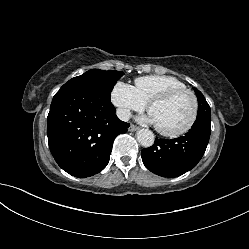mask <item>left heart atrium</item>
Returning <instances> with one entry per match:
<instances>
[{
	"label": "left heart atrium",
	"instance_id": "39dd6f15",
	"mask_svg": "<svg viewBox=\"0 0 249 249\" xmlns=\"http://www.w3.org/2000/svg\"><path fill=\"white\" fill-rule=\"evenodd\" d=\"M147 121L156 125L155 120L151 115L148 117Z\"/></svg>",
	"mask_w": 249,
	"mask_h": 249
}]
</instances>
